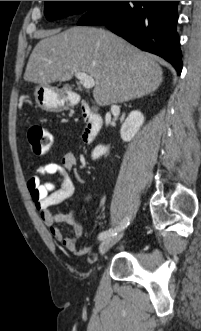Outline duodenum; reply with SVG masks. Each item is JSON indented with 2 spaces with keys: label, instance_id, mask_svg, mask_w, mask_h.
I'll return each instance as SVG.
<instances>
[{
  "label": "duodenum",
  "instance_id": "obj_1",
  "mask_svg": "<svg viewBox=\"0 0 201 331\" xmlns=\"http://www.w3.org/2000/svg\"><path fill=\"white\" fill-rule=\"evenodd\" d=\"M64 92H62V95ZM69 101H74L77 95L73 92L67 95ZM81 113L85 122V127L82 132V140L85 144H91L97 137L101 125L102 118L100 115L95 113L87 103L81 104Z\"/></svg>",
  "mask_w": 201,
  "mask_h": 331
}]
</instances>
